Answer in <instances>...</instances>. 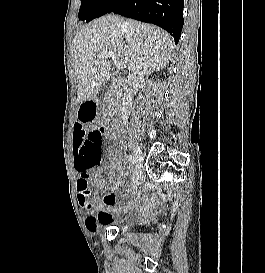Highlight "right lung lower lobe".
Wrapping results in <instances>:
<instances>
[{
    "label": "right lung lower lobe",
    "instance_id": "obj_1",
    "mask_svg": "<svg viewBox=\"0 0 265 273\" xmlns=\"http://www.w3.org/2000/svg\"><path fill=\"white\" fill-rule=\"evenodd\" d=\"M184 0H118L110 13L153 23L169 32L178 43L183 27Z\"/></svg>",
    "mask_w": 265,
    "mask_h": 273
}]
</instances>
